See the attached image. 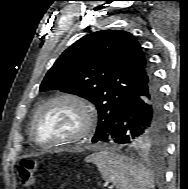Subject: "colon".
Segmentation results:
<instances>
[{
    "label": "colon",
    "mask_w": 188,
    "mask_h": 189,
    "mask_svg": "<svg viewBox=\"0 0 188 189\" xmlns=\"http://www.w3.org/2000/svg\"><path fill=\"white\" fill-rule=\"evenodd\" d=\"M40 165L31 159H24L18 166L20 183L24 187H30L34 182V175L40 169Z\"/></svg>",
    "instance_id": "colon-1"
}]
</instances>
